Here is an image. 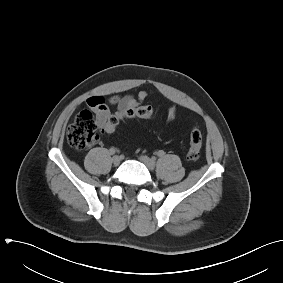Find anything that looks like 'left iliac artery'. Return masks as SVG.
<instances>
[{"mask_svg":"<svg viewBox=\"0 0 283 283\" xmlns=\"http://www.w3.org/2000/svg\"><path fill=\"white\" fill-rule=\"evenodd\" d=\"M164 154H165V152H164L163 150H159L158 153H157V155H158L159 157L164 156Z\"/></svg>","mask_w":283,"mask_h":283,"instance_id":"44dca946","label":"left iliac artery"}]
</instances>
